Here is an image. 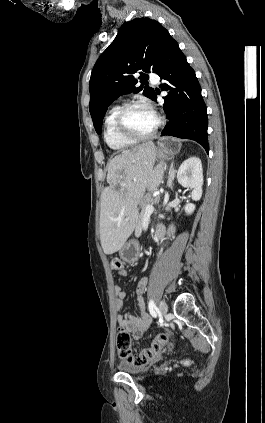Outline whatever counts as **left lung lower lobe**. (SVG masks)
<instances>
[{
	"instance_id": "left-lung-lower-lobe-1",
	"label": "left lung lower lobe",
	"mask_w": 265,
	"mask_h": 423,
	"mask_svg": "<svg viewBox=\"0 0 265 423\" xmlns=\"http://www.w3.org/2000/svg\"><path fill=\"white\" fill-rule=\"evenodd\" d=\"M156 73L165 80L160 85L162 90L168 91L164 97V110L169 121L161 136L195 140L208 152L207 111L201 87L194 70L172 37ZM153 100H156V94Z\"/></svg>"
}]
</instances>
